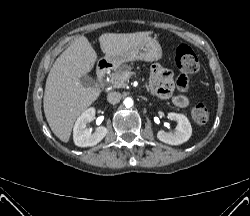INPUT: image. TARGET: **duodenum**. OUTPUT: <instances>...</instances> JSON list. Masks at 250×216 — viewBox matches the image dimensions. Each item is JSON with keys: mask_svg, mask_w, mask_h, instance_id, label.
I'll return each mask as SVG.
<instances>
[{"mask_svg": "<svg viewBox=\"0 0 250 216\" xmlns=\"http://www.w3.org/2000/svg\"><path fill=\"white\" fill-rule=\"evenodd\" d=\"M110 64L106 61H102L99 63L98 68H97V76L100 81H103L106 77L107 72L110 69Z\"/></svg>", "mask_w": 250, "mask_h": 216, "instance_id": "1", "label": "duodenum"}]
</instances>
